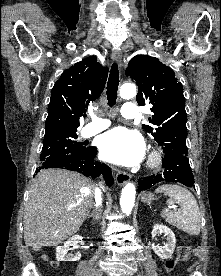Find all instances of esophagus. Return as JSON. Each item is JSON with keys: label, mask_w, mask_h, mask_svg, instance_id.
<instances>
[{"label": "esophagus", "mask_w": 221, "mask_h": 276, "mask_svg": "<svg viewBox=\"0 0 221 276\" xmlns=\"http://www.w3.org/2000/svg\"><path fill=\"white\" fill-rule=\"evenodd\" d=\"M112 59L118 64L119 68H121V61H122V53L120 50H113L112 51ZM130 180V175L128 173L119 171L116 175V182L118 185H124Z\"/></svg>", "instance_id": "1"}]
</instances>
